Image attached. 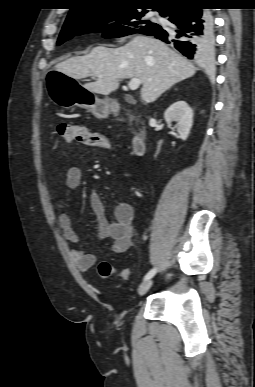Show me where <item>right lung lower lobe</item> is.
Listing matches in <instances>:
<instances>
[{
  "instance_id": "right-lung-lower-lobe-1",
  "label": "right lung lower lobe",
  "mask_w": 255,
  "mask_h": 387,
  "mask_svg": "<svg viewBox=\"0 0 255 387\" xmlns=\"http://www.w3.org/2000/svg\"><path fill=\"white\" fill-rule=\"evenodd\" d=\"M198 0L183 2L164 10L171 26L146 28L142 33L171 44L183 55L199 63H209L214 56V23L209 9Z\"/></svg>"
}]
</instances>
